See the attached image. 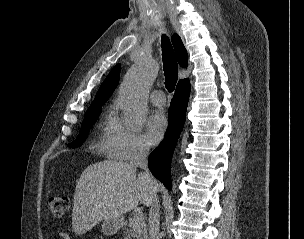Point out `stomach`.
<instances>
[{
    "label": "stomach",
    "mask_w": 304,
    "mask_h": 239,
    "mask_svg": "<svg viewBox=\"0 0 304 239\" xmlns=\"http://www.w3.org/2000/svg\"><path fill=\"white\" fill-rule=\"evenodd\" d=\"M122 226L121 218H108L103 220L102 232L107 236L116 234Z\"/></svg>",
    "instance_id": "obj_1"
}]
</instances>
